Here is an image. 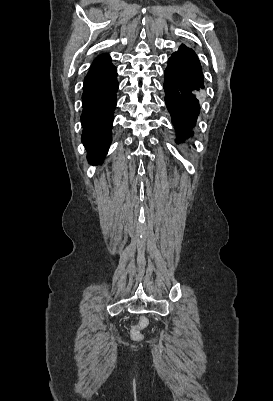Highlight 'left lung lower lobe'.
<instances>
[{
    "label": "left lung lower lobe",
    "instance_id": "1",
    "mask_svg": "<svg viewBox=\"0 0 273 401\" xmlns=\"http://www.w3.org/2000/svg\"><path fill=\"white\" fill-rule=\"evenodd\" d=\"M204 88L203 73L196 53L181 45L168 59L164 71L165 103L180 143L193 134L200 110L195 91Z\"/></svg>",
    "mask_w": 273,
    "mask_h": 401
}]
</instances>
